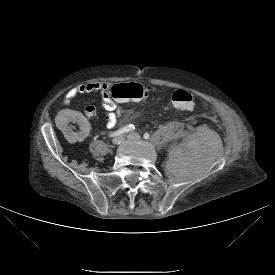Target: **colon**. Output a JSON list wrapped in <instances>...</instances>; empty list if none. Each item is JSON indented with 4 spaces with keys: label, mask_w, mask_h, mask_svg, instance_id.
I'll return each instance as SVG.
<instances>
[{
    "label": "colon",
    "mask_w": 275,
    "mask_h": 275,
    "mask_svg": "<svg viewBox=\"0 0 275 275\" xmlns=\"http://www.w3.org/2000/svg\"><path fill=\"white\" fill-rule=\"evenodd\" d=\"M111 94L120 101L140 102L149 97L148 90L140 84H119L112 88ZM170 100L179 110L187 111L194 107V98L186 90H176Z\"/></svg>",
    "instance_id": "colon-1"
}]
</instances>
